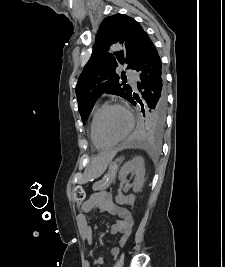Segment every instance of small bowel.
Here are the masks:
<instances>
[{
  "instance_id": "1",
  "label": "small bowel",
  "mask_w": 225,
  "mask_h": 267,
  "mask_svg": "<svg viewBox=\"0 0 225 267\" xmlns=\"http://www.w3.org/2000/svg\"><path fill=\"white\" fill-rule=\"evenodd\" d=\"M95 209L111 213L118 217V219L111 226V233L114 235H119V245H124L132 232L134 224L132 214L128 209L115 205L112 201L110 193L105 191L92 194L83 205L82 212L78 215V220L81 223L84 239L87 244H92V230L84 213H90ZM110 253L113 257H116L119 254V248L112 247L110 249ZM91 263L100 265L103 263V259H94L91 261Z\"/></svg>"
}]
</instances>
